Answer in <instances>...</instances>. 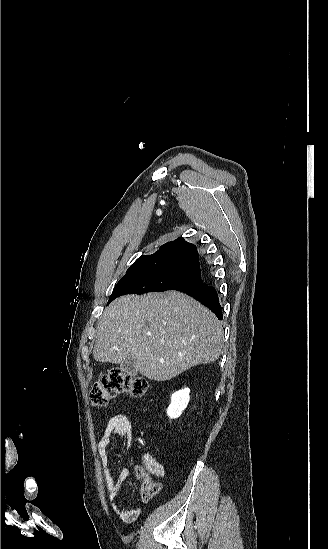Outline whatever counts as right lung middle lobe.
<instances>
[{"label":"right lung middle lobe","instance_id":"right-lung-middle-lobe-1","mask_svg":"<svg viewBox=\"0 0 328 549\" xmlns=\"http://www.w3.org/2000/svg\"><path fill=\"white\" fill-rule=\"evenodd\" d=\"M206 285L201 276L160 269L130 270L118 281L109 299L125 294H143L147 292H163L167 290L186 291Z\"/></svg>","mask_w":328,"mask_h":549}]
</instances>
